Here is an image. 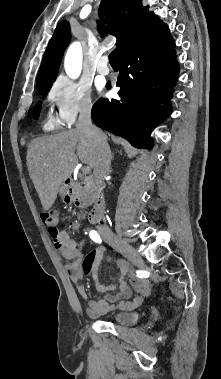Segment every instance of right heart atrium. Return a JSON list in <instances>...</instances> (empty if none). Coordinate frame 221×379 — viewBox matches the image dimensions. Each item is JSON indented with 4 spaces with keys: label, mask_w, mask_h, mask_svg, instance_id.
Returning a JSON list of instances; mask_svg holds the SVG:
<instances>
[{
    "label": "right heart atrium",
    "mask_w": 221,
    "mask_h": 379,
    "mask_svg": "<svg viewBox=\"0 0 221 379\" xmlns=\"http://www.w3.org/2000/svg\"><path fill=\"white\" fill-rule=\"evenodd\" d=\"M57 118L65 125L72 126L79 116L93 110L90 89L85 84L67 78L56 80L48 91Z\"/></svg>",
    "instance_id": "d8ad5b80"
}]
</instances>
